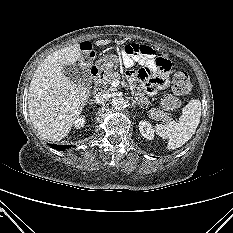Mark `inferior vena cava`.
I'll return each instance as SVG.
<instances>
[{"mask_svg":"<svg viewBox=\"0 0 233 233\" xmlns=\"http://www.w3.org/2000/svg\"><path fill=\"white\" fill-rule=\"evenodd\" d=\"M109 96L105 93H97L94 96V102L97 104H104L108 100Z\"/></svg>","mask_w":233,"mask_h":233,"instance_id":"inferior-vena-cava-1","label":"inferior vena cava"}]
</instances>
